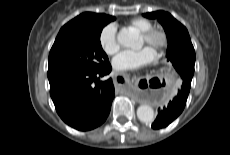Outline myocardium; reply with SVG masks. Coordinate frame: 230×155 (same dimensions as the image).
Returning a JSON list of instances; mask_svg holds the SVG:
<instances>
[{"instance_id": "f54148a6", "label": "myocardium", "mask_w": 230, "mask_h": 155, "mask_svg": "<svg viewBox=\"0 0 230 155\" xmlns=\"http://www.w3.org/2000/svg\"><path fill=\"white\" fill-rule=\"evenodd\" d=\"M146 44H151L155 38L158 39V44L155 49L156 57H160L166 50L169 44L167 32L160 27H151L150 29L140 33Z\"/></svg>"}]
</instances>
